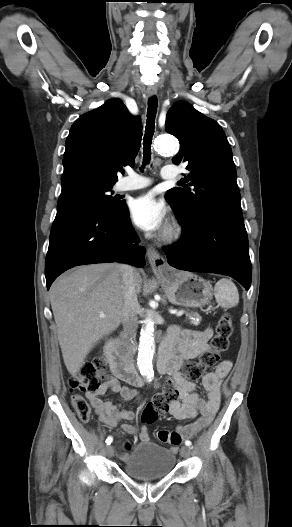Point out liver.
<instances>
[{"label": "liver", "mask_w": 292, "mask_h": 527, "mask_svg": "<svg viewBox=\"0 0 292 527\" xmlns=\"http://www.w3.org/2000/svg\"><path fill=\"white\" fill-rule=\"evenodd\" d=\"M123 272L119 263L81 266L59 277L50 288L58 340L72 376L80 371L95 344L122 322ZM134 274L139 293L142 278L138 270Z\"/></svg>", "instance_id": "liver-1"}]
</instances>
